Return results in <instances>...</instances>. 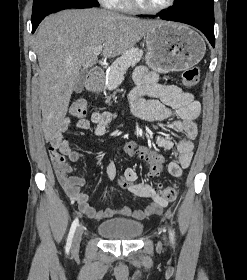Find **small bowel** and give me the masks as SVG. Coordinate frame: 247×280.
Returning a JSON list of instances; mask_svg holds the SVG:
<instances>
[{
  "instance_id": "c3829d8e",
  "label": "small bowel",
  "mask_w": 247,
  "mask_h": 280,
  "mask_svg": "<svg viewBox=\"0 0 247 280\" xmlns=\"http://www.w3.org/2000/svg\"><path fill=\"white\" fill-rule=\"evenodd\" d=\"M134 81L136 87L129 94V101L133 114L147 121H160L169 118L173 111L176 112L178 120L173 122V127L184 133V136L176 145L177 160L168 164V172L176 178H180L183 170L188 168L192 157L194 144L198 128L196 119L200 113V104L191 93L183 91L180 87L162 83L155 72L148 71L140 66L134 71ZM116 113L112 111L93 112L89 118H82L76 122L79 129H89L94 126L96 136H104L108 125L115 120ZM72 123L70 116L65 117L53 132L50 138V147L57 150L61 155L66 156L71 162H77L83 158V154L71 148L69 142L64 139L63 134ZM158 146L171 150L174 144L171 140L162 135L156 136ZM130 174V176H129ZM106 176L113 180L116 176L114 164L109 163L106 167ZM131 181L128 191L136 198L151 200V204L144 209H132L123 206L115 209H96L89 203L87 193L82 191L86 180L78 176L62 177L58 176L59 183L69 197L78 205L79 210L92 220L109 219L114 216H131L135 219H143L149 215L160 213L168 204L153 187L147 183L137 182V173L129 168L124 175Z\"/></svg>"
}]
</instances>
